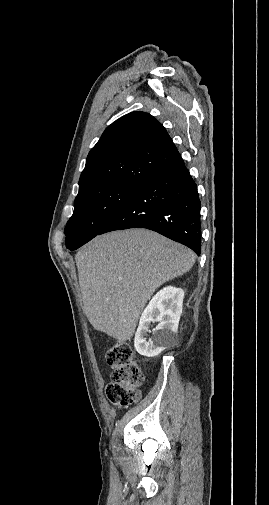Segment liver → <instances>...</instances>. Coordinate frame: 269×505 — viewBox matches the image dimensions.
<instances>
[{
    "label": "liver",
    "mask_w": 269,
    "mask_h": 505,
    "mask_svg": "<svg viewBox=\"0 0 269 505\" xmlns=\"http://www.w3.org/2000/svg\"><path fill=\"white\" fill-rule=\"evenodd\" d=\"M195 259L189 248L146 229L94 238L75 256L90 324L117 340H130L154 291L189 271Z\"/></svg>",
    "instance_id": "liver-1"
}]
</instances>
